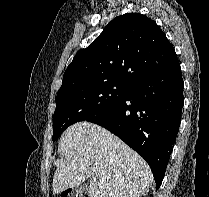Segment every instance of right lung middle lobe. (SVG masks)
I'll return each instance as SVG.
<instances>
[{
  "mask_svg": "<svg viewBox=\"0 0 209 197\" xmlns=\"http://www.w3.org/2000/svg\"><path fill=\"white\" fill-rule=\"evenodd\" d=\"M133 86L115 80L81 82L62 87L53 116V142L70 125L85 121L125 98Z\"/></svg>",
  "mask_w": 209,
  "mask_h": 197,
  "instance_id": "dd1d6c3e",
  "label": "right lung middle lobe"
}]
</instances>
